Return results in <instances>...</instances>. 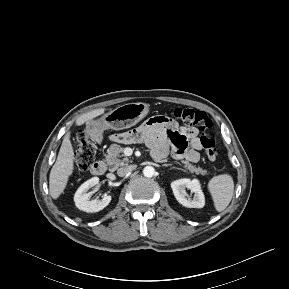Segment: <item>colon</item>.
<instances>
[{
  "label": "colon",
  "instance_id": "obj_1",
  "mask_svg": "<svg viewBox=\"0 0 289 289\" xmlns=\"http://www.w3.org/2000/svg\"><path fill=\"white\" fill-rule=\"evenodd\" d=\"M174 117L185 125L196 126L202 133L201 143L210 161L217 159L216 142L209 133L212 128V120L203 111L191 108H177ZM74 166L76 171L87 170L94 161L95 147L89 140L86 131L80 130L75 137Z\"/></svg>",
  "mask_w": 289,
  "mask_h": 289
}]
</instances>
